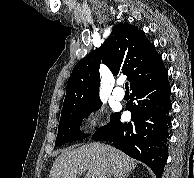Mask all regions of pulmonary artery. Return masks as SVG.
<instances>
[{
    "label": "pulmonary artery",
    "mask_w": 194,
    "mask_h": 178,
    "mask_svg": "<svg viewBox=\"0 0 194 178\" xmlns=\"http://www.w3.org/2000/svg\"><path fill=\"white\" fill-rule=\"evenodd\" d=\"M112 95L115 100L121 101L124 98V91L122 90V88L117 87L116 89H114Z\"/></svg>",
    "instance_id": "1"
}]
</instances>
